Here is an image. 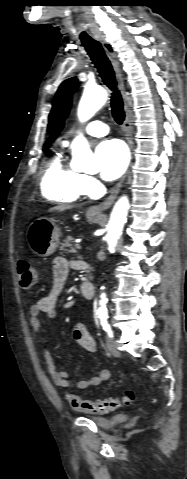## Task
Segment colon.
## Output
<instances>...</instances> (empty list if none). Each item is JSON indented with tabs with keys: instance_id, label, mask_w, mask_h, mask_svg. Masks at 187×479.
Instances as JSON below:
<instances>
[{
	"instance_id": "obj_1",
	"label": "colon",
	"mask_w": 187,
	"mask_h": 479,
	"mask_svg": "<svg viewBox=\"0 0 187 479\" xmlns=\"http://www.w3.org/2000/svg\"><path fill=\"white\" fill-rule=\"evenodd\" d=\"M17 272L20 287L24 290L33 288L39 281L38 271L25 259L18 261ZM66 398L72 409L76 411L106 414L118 407L130 404L135 396L133 392H127L123 397H111L105 400H87L68 393L66 394Z\"/></svg>"
}]
</instances>
